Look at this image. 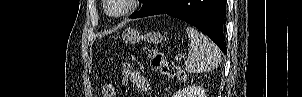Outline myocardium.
Segmentation results:
<instances>
[{
	"mask_svg": "<svg viewBox=\"0 0 302 97\" xmlns=\"http://www.w3.org/2000/svg\"><path fill=\"white\" fill-rule=\"evenodd\" d=\"M139 2L140 0H125L126 8L119 13H113L110 10L111 0H104V11L112 18H122L132 14L136 10Z\"/></svg>",
	"mask_w": 302,
	"mask_h": 97,
	"instance_id": "myocardium-1",
	"label": "myocardium"
}]
</instances>
